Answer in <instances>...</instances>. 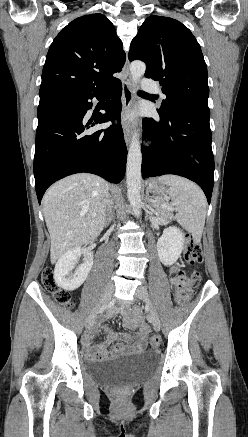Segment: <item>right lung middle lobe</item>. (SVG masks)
Wrapping results in <instances>:
<instances>
[{
  "instance_id": "dd1d6c3e",
  "label": "right lung middle lobe",
  "mask_w": 248,
  "mask_h": 437,
  "mask_svg": "<svg viewBox=\"0 0 248 437\" xmlns=\"http://www.w3.org/2000/svg\"><path fill=\"white\" fill-rule=\"evenodd\" d=\"M55 94H69V93H65V92H49V93H47V94H44V95H40V97H43V96H48V95H55Z\"/></svg>"
}]
</instances>
